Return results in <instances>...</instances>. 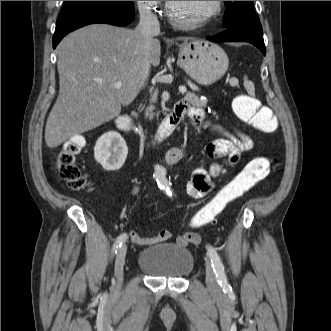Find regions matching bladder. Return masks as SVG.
Here are the masks:
<instances>
[{"label":"bladder","mask_w":331,"mask_h":331,"mask_svg":"<svg viewBox=\"0 0 331 331\" xmlns=\"http://www.w3.org/2000/svg\"><path fill=\"white\" fill-rule=\"evenodd\" d=\"M194 256L189 248L176 243H161L145 247L139 254L137 266L150 277L180 279L194 269Z\"/></svg>","instance_id":"bladder-1"}]
</instances>
